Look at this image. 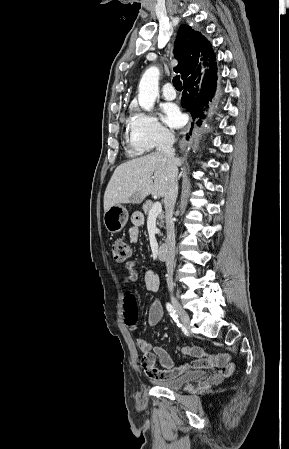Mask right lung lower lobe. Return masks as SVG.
<instances>
[{"instance_id":"98d812e1","label":"right lung lower lobe","mask_w":289,"mask_h":449,"mask_svg":"<svg viewBox=\"0 0 289 449\" xmlns=\"http://www.w3.org/2000/svg\"><path fill=\"white\" fill-rule=\"evenodd\" d=\"M216 80L217 68L215 64L205 76L184 83L181 105L191 113L193 119L200 118L197 122L198 125L201 124V119L205 118L203 108L207 106L208 101L214 95Z\"/></svg>"}]
</instances>
